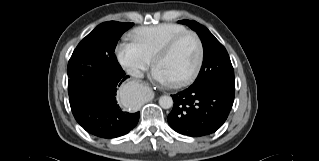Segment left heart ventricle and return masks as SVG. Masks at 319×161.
I'll use <instances>...</instances> for the list:
<instances>
[{"label": "left heart ventricle", "instance_id": "b2bd125f", "mask_svg": "<svg viewBox=\"0 0 319 161\" xmlns=\"http://www.w3.org/2000/svg\"><path fill=\"white\" fill-rule=\"evenodd\" d=\"M197 56V44L193 37L187 36L175 46L168 56L160 60L156 67L166 75L169 81H172L192 70Z\"/></svg>", "mask_w": 319, "mask_h": 161}]
</instances>
